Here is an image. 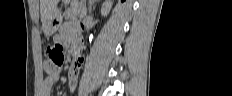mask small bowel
<instances>
[{"instance_id":"obj_1","label":"small bowel","mask_w":232,"mask_h":96,"mask_svg":"<svg viewBox=\"0 0 232 96\" xmlns=\"http://www.w3.org/2000/svg\"><path fill=\"white\" fill-rule=\"evenodd\" d=\"M83 25H77L74 21L65 22L59 33L54 37V45H78V43H84L85 39L80 38V35H83ZM48 53V50H47ZM83 63L82 56L77 55V63L74 68L69 72V86L72 90L75 89L78 79L79 68ZM49 62H45L44 67L48 71ZM59 79V74H51L45 77L40 85V95L41 96H50L53 84Z\"/></svg>"}]
</instances>
